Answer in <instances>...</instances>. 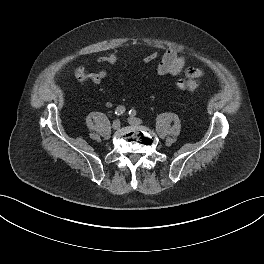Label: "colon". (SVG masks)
<instances>
[{"instance_id": "colon-1", "label": "colon", "mask_w": 264, "mask_h": 264, "mask_svg": "<svg viewBox=\"0 0 264 264\" xmlns=\"http://www.w3.org/2000/svg\"><path fill=\"white\" fill-rule=\"evenodd\" d=\"M157 58H158V52L152 51L146 54L143 61L145 63H151L155 61ZM117 59H118V49L117 48H114L110 52L103 55L101 58V60L104 63H107L109 65L115 64ZM176 87L182 91H192L196 88V85L189 79H179L176 82Z\"/></svg>"}]
</instances>
